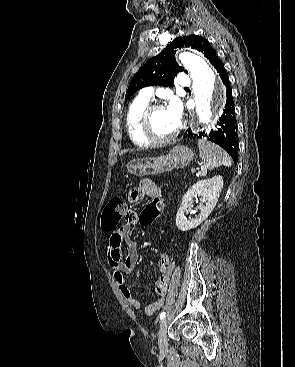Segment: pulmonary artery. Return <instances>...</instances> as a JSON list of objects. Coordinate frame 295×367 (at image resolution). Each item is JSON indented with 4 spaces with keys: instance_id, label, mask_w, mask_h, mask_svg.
<instances>
[{
    "instance_id": "e3ab8cb5",
    "label": "pulmonary artery",
    "mask_w": 295,
    "mask_h": 367,
    "mask_svg": "<svg viewBox=\"0 0 295 367\" xmlns=\"http://www.w3.org/2000/svg\"><path fill=\"white\" fill-rule=\"evenodd\" d=\"M178 84L183 88H189L191 85V80L186 74L181 73L178 77ZM139 97L150 100L153 97V89L150 87L142 89L139 92Z\"/></svg>"
}]
</instances>
